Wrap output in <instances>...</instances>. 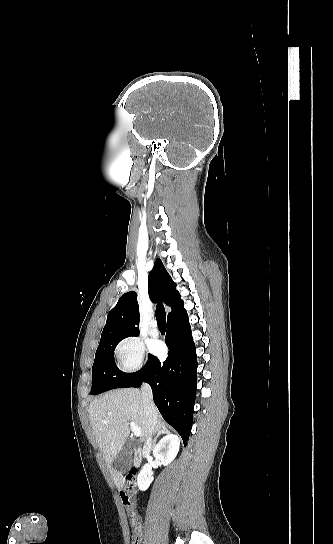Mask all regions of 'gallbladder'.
Masks as SVG:
<instances>
[{"instance_id":"1","label":"gallbladder","mask_w":333,"mask_h":544,"mask_svg":"<svg viewBox=\"0 0 333 544\" xmlns=\"http://www.w3.org/2000/svg\"><path fill=\"white\" fill-rule=\"evenodd\" d=\"M136 448V443L132 440H127L113 460L112 466L114 469L126 473L131 464V455Z\"/></svg>"}]
</instances>
